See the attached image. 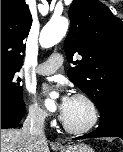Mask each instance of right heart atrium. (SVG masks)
Here are the masks:
<instances>
[{
  "mask_svg": "<svg viewBox=\"0 0 123 152\" xmlns=\"http://www.w3.org/2000/svg\"><path fill=\"white\" fill-rule=\"evenodd\" d=\"M28 117L37 123H44L48 119V113L34 102L27 105Z\"/></svg>",
  "mask_w": 123,
  "mask_h": 152,
  "instance_id": "1",
  "label": "right heart atrium"
}]
</instances>
